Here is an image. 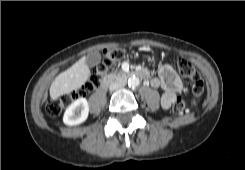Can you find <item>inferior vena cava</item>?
<instances>
[{
  "mask_svg": "<svg viewBox=\"0 0 245 170\" xmlns=\"http://www.w3.org/2000/svg\"><path fill=\"white\" fill-rule=\"evenodd\" d=\"M126 83H127L126 78H122V79L115 80V81H113V82L110 84L109 89H110L111 91L117 90V89H119V88L124 87V86L126 85Z\"/></svg>",
  "mask_w": 245,
  "mask_h": 170,
  "instance_id": "obj_1",
  "label": "inferior vena cava"
}]
</instances>
